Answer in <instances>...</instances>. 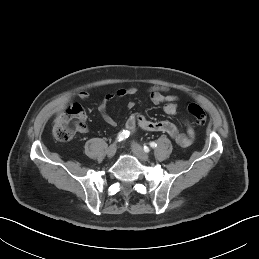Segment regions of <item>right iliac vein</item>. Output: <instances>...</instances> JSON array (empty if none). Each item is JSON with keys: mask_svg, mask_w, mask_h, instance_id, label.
<instances>
[{"mask_svg": "<svg viewBox=\"0 0 259 259\" xmlns=\"http://www.w3.org/2000/svg\"><path fill=\"white\" fill-rule=\"evenodd\" d=\"M116 151H117V145L114 143V144H111L109 147H108V149H107V156L109 157V158H112L114 155H115V153H116Z\"/></svg>", "mask_w": 259, "mask_h": 259, "instance_id": "obj_1", "label": "right iliac vein"}]
</instances>
